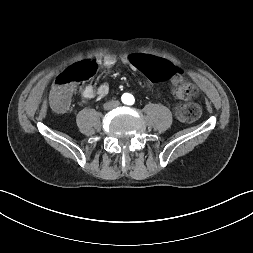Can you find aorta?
Instances as JSON below:
<instances>
[{"mask_svg":"<svg viewBox=\"0 0 253 253\" xmlns=\"http://www.w3.org/2000/svg\"><path fill=\"white\" fill-rule=\"evenodd\" d=\"M125 96H128L129 98H131V95H128V94H127V95H125Z\"/></svg>","mask_w":253,"mask_h":253,"instance_id":"1","label":"aorta"}]
</instances>
